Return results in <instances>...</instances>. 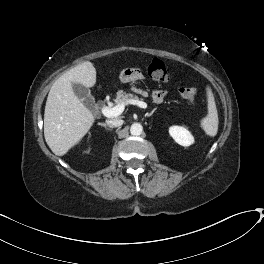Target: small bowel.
<instances>
[{
  "mask_svg": "<svg viewBox=\"0 0 264 264\" xmlns=\"http://www.w3.org/2000/svg\"><path fill=\"white\" fill-rule=\"evenodd\" d=\"M153 100L155 103H161L166 97V94L163 91L156 90L152 94Z\"/></svg>",
  "mask_w": 264,
  "mask_h": 264,
  "instance_id": "c3829d8e",
  "label": "small bowel"
}]
</instances>
